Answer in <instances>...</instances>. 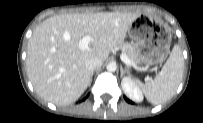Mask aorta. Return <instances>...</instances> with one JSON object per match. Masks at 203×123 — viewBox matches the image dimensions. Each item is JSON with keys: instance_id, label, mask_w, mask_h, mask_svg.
I'll list each match as a JSON object with an SVG mask.
<instances>
[{"instance_id": "762f6f07", "label": "aorta", "mask_w": 203, "mask_h": 123, "mask_svg": "<svg viewBox=\"0 0 203 123\" xmlns=\"http://www.w3.org/2000/svg\"><path fill=\"white\" fill-rule=\"evenodd\" d=\"M107 70L109 71V72H114L115 70H116V64L115 63H109L108 65H107Z\"/></svg>"}]
</instances>
